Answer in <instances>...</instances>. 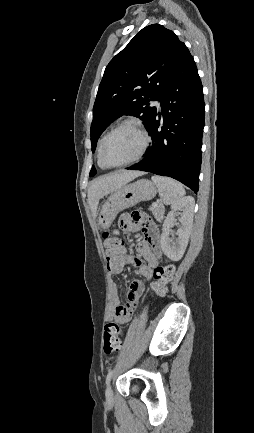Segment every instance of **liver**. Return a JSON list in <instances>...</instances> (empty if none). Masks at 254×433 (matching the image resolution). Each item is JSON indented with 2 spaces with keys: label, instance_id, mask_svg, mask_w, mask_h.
Segmentation results:
<instances>
[{
  "label": "liver",
  "instance_id": "1",
  "mask_svg": "<svg viewBox=\"0 0 254 433\" xmlns=\"http://www.w3.org/2000/svg\"><path fill=\"white\" fill-rule=\"evenodd\" d=\"M140 171H117L94 179L88 189V203L92 214L95 216L98 210L99 200L118 188L126 185L138 176L143 175Z\"/></svg>",
  "mask_w": 254,
  "mask_h": 433
}]
</instances>
